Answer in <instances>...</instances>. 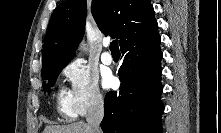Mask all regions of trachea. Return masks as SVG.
<instances>
[{"label":"trachea","instance_id":"3493384b","mask_svg":"<svg viewBox=\"0 0 221 133\" xmlns=\"http://www.w3.org/2000/svg\"><path fill=\"white\" fill-rule=\"evenodd\" d=\"M110 50H111V52H119L118 40H113L110 43Z\"/></svg>","mask_w":221,"mask_h":133}]
</instances>
